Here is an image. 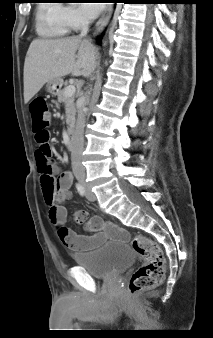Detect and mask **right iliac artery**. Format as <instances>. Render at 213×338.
Listing matches in <instances>:
<instances>
[{
	"label": "right iliac artery",
	"mask_w": 213,
	"mask_h": 338,
	"mask_svg": "<svg viewBox=\"0 0 213 338\" xmlns=\"http://www.w3.org/2000/svg\"><path fill=\"white\" fill-rule=\"evenodd\" d=\"M76 189L81 196L85 195L86 193L85 188L80 183L76 184Z\"/></svg>",
	"instance_id": "right-iliac-artery-1"
}]
</instances>
